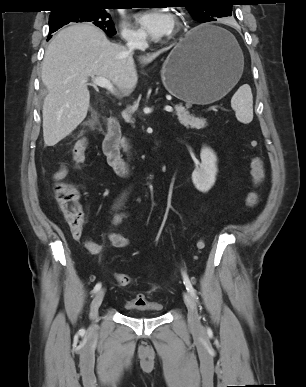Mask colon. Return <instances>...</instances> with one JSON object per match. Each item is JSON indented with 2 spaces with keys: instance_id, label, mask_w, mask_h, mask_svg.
<instances>
[{
  "instance_id": "colon-1",
  "label": "colon",
  "mask_w": 306,
  "mask_h": 387,
  "mask_svg": "<svg viewBox=\"0 0 306 387\" xmlns=\"http://www.w3.org/2000/svg\"><path fill=\"white\" fill-rule=\"evenodd\" d=\"M253 146H257V142H252ZM88 149V142L86 139L78 140L73 148V160L77 165L83 163ZM251 176L255 188L259 187L265 177L264 164L259 156H255L251 161ZM55 197L62 211L64 218L69 226L73 236L79 237L82 234L85 226V215L83 207L79 201V192L77 188L67 182H59L55 186ZM258 202V194L256 191L249 193L247 197V206L253 208ZM205 242L199 240L197 248L203 249ZM116 283L121 287H128L134 283V278L127 274H115Z\"/></svg>"
}]
</instances>
